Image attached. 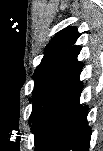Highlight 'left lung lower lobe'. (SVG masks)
<instances>
[{"label": "left lung lower lobe", "mask_w": 103, "mask_h": 151, "mask_svg": "<svg viewBox=\"0 0 103 151\" xmlns=\"http://www.w3.org/2000/svg\"><path fill=\"white\" fill-rule=\"evenodd\" d=\"M79 52V46H71L34 78L29 124L38 151L89 149L88 108L80 104L83 63L77 60Z\"/></svg>", "instance_id": "obj_1"}]
</instances>
